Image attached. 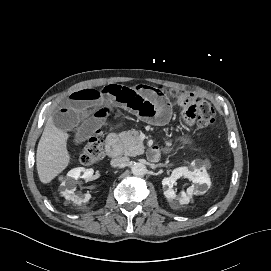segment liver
I'll return each instance as SVG.
<instances>
[{
  "instance_id": "obj_1",
  "label": "liver",
  "mask_w": 271,
  "mask_h": 271,
  "mask_svg": "<svg viewBox=\"0 0 271 271\" xmlns=\"http://www.w3.org/2000/svg\"><path fill=\"white\" fill-rule=\"evenodd\" d=\"M68 135L57 128L50 116L37 147L36 165L39 179L46 184L51 182L70 163L67 150Z\"/></svg>"
}]
</instances>
